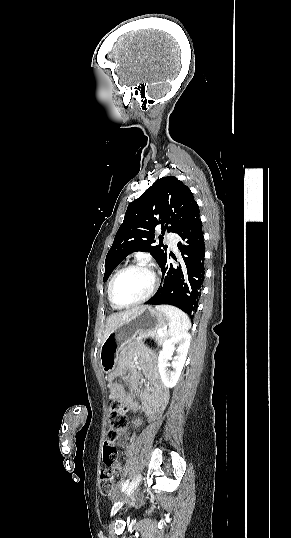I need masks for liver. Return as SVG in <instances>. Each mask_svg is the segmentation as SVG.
<instances>
[{
    "instance_id": "obj_1",
    "label": "liver",
    "mask_w": 291,
    "mask_h": 538,
    "mask_svg": "<svg viewBox=\"0 0 291 538\" xmlns=\"http://www.w3.org/2000/svg\"><path fill=\"white\" fill-rule=\"evenodd\" d=\"M143 307L144 306H138L130 310H126L124 312H119V313L110 315L106 320L104 336H103L102 341H104L109 336V334H111L117 327L127 322L134 313H136L138 310H140Z\"/></svg>"
}]
</instances>
